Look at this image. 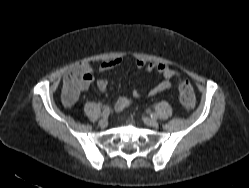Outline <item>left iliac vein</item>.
Wrapping results in <instances>:
<instances>
[{
    "instance_id": "left-iliac-vein-1",
    "label": "left iliac vein",
    "mask_w": 249,
    "mask_h": 188,
    "mask_svg": "<svg viewBox=\"0 0 249 188\" xmlns=\"http://www.w3.org/2000/svg\"><path fill=\"white\" fill-rule=\"evenodd\" d=\"M143 120H144L145 124L148 126H152V127L158 126V121L156 118L144 117Z\"/></svg>"
}]
</instances>
